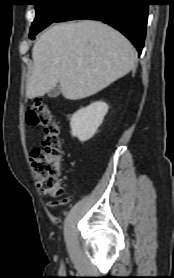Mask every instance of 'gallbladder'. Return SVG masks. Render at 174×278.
Segmentation results:
<instances>
[{
  "label": "gallbladder",
  "mask_w": 174,
  "mask_h": 278,
  "mask_svg": "<svg viewBox=\"0 0 174 278\" xmlns=\"http://www.w3.org/2000/svg\"><path fill=\"white\" fill-rule=\"evenodd\" d=\"M61 93V90H60V87L58 85H56L53 89H51L49 92H48V96L50 98H56L57 96H59Z\"/></svg>",
  "instance_id": "obj_1"
}]
</instances>
